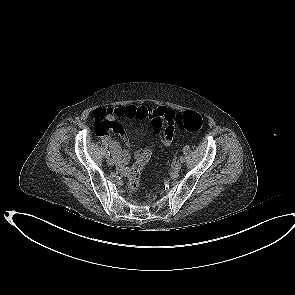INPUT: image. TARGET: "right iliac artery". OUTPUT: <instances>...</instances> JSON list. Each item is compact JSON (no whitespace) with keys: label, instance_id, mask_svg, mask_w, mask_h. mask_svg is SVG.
Here are the masks:
<instances>
[{"label":"right iliac artery","instance_id":"right-iliac-artery-1","mask_svg":"<svg viewBox=\"0 0 295 295\" xmlns=\"http://www.w3.org/2000/svg\"><path fill=\"white\" fill-rule=\"evenodd\" d=\"M106 155H107V158H109L110 157V151H108Z\"/></svg>","mask_w":295,"mask_h":295}]
</instances>
